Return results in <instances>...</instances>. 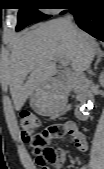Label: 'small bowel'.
I'll list each match as a JSON object with an SVG mask.
<instances>
[{"label": "small bowel", "instance_id": "c3829d8e", "mask_svg": "<svg viewBox=\"0 0 104 169\" xmlns=\"http://www.w3.org/2000/svg\"><path fill=\"white\" fill-rule=\"evenodd\" d=\"M64 124L68 128V135L72 138L74 141L75 147L78 151L81 152H86L88 150V142L86 139V136L83 132H81L76 123L73 121H66ZM66 152L64 150L60 151V156H59V162H58V167H61L65 160H66ZM79 169H89L87 165H84L80 167Z\"/></svg>", "mask_w": 104, "mask_h": 169}]
</instances>
